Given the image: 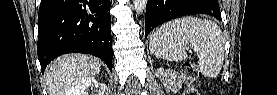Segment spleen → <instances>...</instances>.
<instances>
[{
	"instance_id": "obj_1",
	"label": "spleen",
	"mask_w": 277,
	"mask_h": 95,
	"mask_svg": "<svg viewBox=\"0 0 277 95\" xmlns=\"http://www.w3.org/2000/svg\"><path fill=\"white\" fill-rule=\"evenodd\" d=\"M224 44L223 33L216 23L189 16L160 26L151 36L149 49L157 58L178 62L186 60L185 47L190 45L199 59L201 73L211 78L222 69Z\"/></svg>"
}]
</instances>
